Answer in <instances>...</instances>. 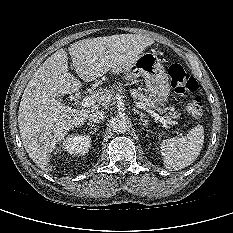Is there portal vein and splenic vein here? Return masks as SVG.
Segmentation results:
<instances>
[{
    "label": "portal vein and splenic vein",
    "instance_id": "portal-vein-and-splenic-vein-1",
    "mask_svg": "<svg viewBox=\"0 0 233 233\" xmlns=\"http://www.w3.org/2000/svg\"><path fill=\"white\" fill-rule=\"evenodd\" d=\"M96 103V97L95 96H87L85 98H83L81 105L83 107H90L92 105H94ZM136 106L138 108H141L143 110H145L147 113H149L152 117L155 118V120L160 121L163 126L166 129H170L169 127V121H167L166 119H164L162 116H159L157 113H155L153 110L147 108L142 102H136ZM173 124H177V122H172ZM180 136H183V133L181 132H177Z\"/></svg>",
    "mask_w": 233,
    "mask_h": 233
}]
</instances>
